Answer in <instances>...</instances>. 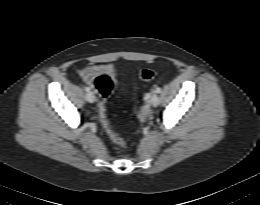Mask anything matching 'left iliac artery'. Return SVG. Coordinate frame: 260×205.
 Returning a JSON list of instances; mask_svg holds the SVG:
<instances>
[{
	"instance_id": "44dca946",
	"label": "left iliac artery",
	"mask_w": 260,
	"mask_h": 205,
	"mask_svg": "<svg viewBox=\"0 0 260 205\" xmlns=\"http://www.w3.org/2000/svg\"><path fill=\"white\" fill-rule=\"evenodd\" d=\"M156 93H160L161 92V88L160 87H157L156 90H155Z\"/></svg>"
}]
</instances>
